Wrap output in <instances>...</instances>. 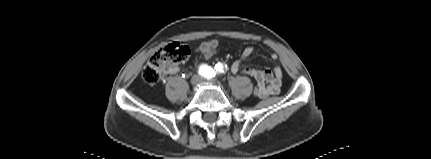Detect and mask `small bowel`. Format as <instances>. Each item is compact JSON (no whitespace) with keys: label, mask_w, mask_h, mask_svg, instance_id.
<instances>
[{"label":"small bowel","mask_w":431,"mask_h":159,"mask_svg":"<svg viewBox=\"0 0 431 159\" xmlns=\"http://www.w3.org/2000/svg\"><path fill=\"white\" fill-rule=\"evenodd\" d=\"M218 41L217 40H208L203 43H201L198 48H214L215 50L218 49ZM254 49L252 47H247L243 50L241 57L237 60H235L231 64V71L233 73H244L249 76H251L256 81V86L261 89L259 98H267L272 95H276L279 93L281 84H282V77L283 73L280 67L276 66L272 70L266 69V70H258L255 68L250 67H244L243 63L244 61H247L251 58L253 55ZM204 57L210 58L212 56L205 55L201 53ZM273 59H276L277 56L275 54L272 55ZM179 70L178 66L171 67L168 72L169 73H176Z\"/></svg>","instance_id":"small-bowel-1"}]
</instances>
